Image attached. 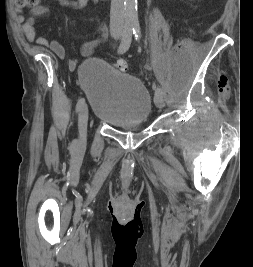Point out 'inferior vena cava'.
<instances>
[{"instance_id": "1", "label": "inferior vena cava", "mask_w": 253, "mask_h": 267, "mask_svg": "<svg viewBox=\"0 0 253 267\" xmlns=\"http://www.w3.org/2000/svg\"><path fill=\"white\" fill-rule=\"evenodd\" d=\"M124 0H111L110 30H123L125 24Z\"/></svg>"}]
</instances>
